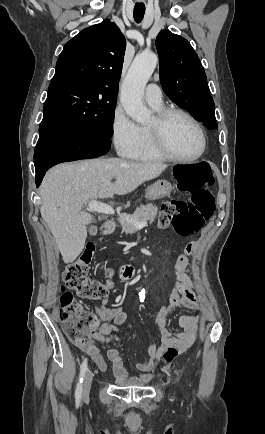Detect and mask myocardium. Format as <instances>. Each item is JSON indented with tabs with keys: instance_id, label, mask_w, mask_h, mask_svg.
<instances>
[{
	"instance_id": "f54148a6",
	"label": "myocardium",
	"mask_w": 265,
	"mask_h": 434,
	"mask_svg": "<svg viewBox=\"0 0 265 434\" xmlns=\"http://www.w3.org/2000/svg\"><path fill=\"white\" fill-rule=\"evenodd\" d=\"M182 115L187 118L197 129L200 139L201 148L200 151L193 157L185 158L178 156L173 149L170 147L167 135H168V124L173 115ZM151 128L153 130L156 146L158 150L168 159L179 163H194L201 159L207 150V138L204 129L200 122L188 111L175 107L169 106L164 107L151 123Z\"/></svg>"
}]
</instances>
